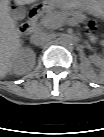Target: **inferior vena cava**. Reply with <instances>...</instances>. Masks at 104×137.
<instances>
[{
  "instance_id": "1",
  "label": "inferior vena cava",
  "mask_w": 104,
  "mask_h": 137,
  "mask_svg": "<svg viewBox=\"0 0 104 137\" xmlns=\"http://www.w3.org/2000/svg\"><path fill=\"white\" fill-rule=\"evenodd\" d=\"M48 39V35L42 31H37L31 36V43L36 46L44 44Z\"/></svg>"
}]
</instances>
